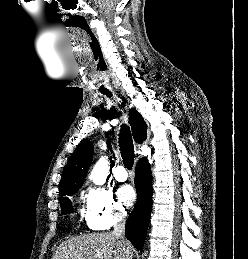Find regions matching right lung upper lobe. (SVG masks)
Here are the masks:
<instances>
[{
    "label": "right lung upper lobe",
    "instance_id": "cb5924a9",
    "mask_svg": "<svg viewBox=\"0 0 248 259\" xmlns=\"http://www.w3.org/2000/svg\"><path fill=\"white\" fill-rule=\"evenodd\" d=\"M129 123L132 128L134 140L141 143L146 139L147 125L142 116L135 110L130 109ZM93 156V144L89 140L82 141L71 155L60 183V195L73 189H79Z\"/></svg>",
    "mask_w": 248,
    "mask_h": 259
}]
</instances>
